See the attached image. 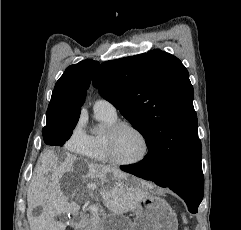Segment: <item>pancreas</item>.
<instances>
[{
  "label": "pancreas",
  "instance_id": "pancreas-1",
  "mask_svg": "<svg viewBox=\"0 0 241 230\" xmlns=\"http://www.w3.org/2000/svg\"><path fill=\"white\" fill-rule=\"evenodd\" d=\"M101 222L102 219L98 215L92 216L90 219L84 221L81 226V230H98Z\"/></svg>",
  "mask_w": 241,
  "mask_h": 230
}]
</instances>
